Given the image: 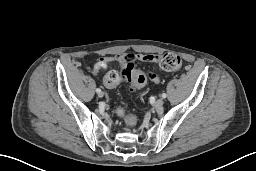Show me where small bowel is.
<instances>
[{
	"mask_svg": "<svg viewBox=\"0 0 256 171\" xmlns=\"http://www.w3.org/2000/svg\"><path fill=\"white\" fill-rule=\"evenodd\" d=\"M126 61H142L147 63H158L159 56L156 54H138V53H131V52H123L118 54L115 57H106L103 59V65L106 66L107 64L113 63V62H126ZM147 80L151 81L152 83H159L160 78L156 73L149 72L146 74ZM104 84L107 87H114L113 84L108 83L107 76L103 79Z\"/></svg>",
	"mask_w": 256,
	"mask_h": 171,
	"instance_id": "small-bowel-1",
	"label": "small bowel"
}]
</instances>
